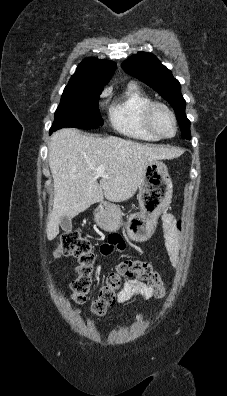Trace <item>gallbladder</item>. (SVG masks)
I'll list each match as a JSON object with an SVG mask.
<instances>
[{"label": "gallbladder", "mask_w": 227, "mask_h": 396, "mask_svg": "<svg viewBox=\"0 0 227 396\" xmlns=\"http://www.w3.org/2000/svg\"><path fill=\"white\" fill-rule=\"evenodd\" d=\"M60 226L61 228L68 232L72 229V222H71V218L68 216H62L60 218Z\"/></svg>", "instance_id": "1"}]
</instances>
